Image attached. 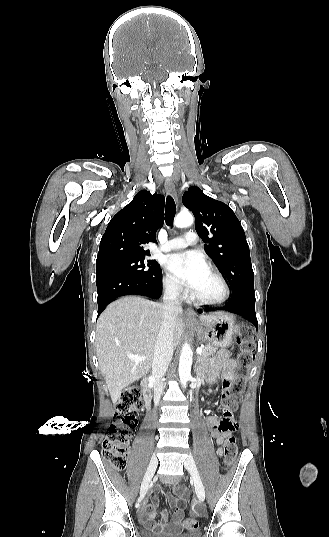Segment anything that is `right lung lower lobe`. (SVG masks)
<instances>
[{
	"label": "right lung lower lobe",
	"mask_w": 329,
	"mask_h": 537,
	"mask_svg": "<svg viewBox=\"0 0 329 537\" xmlns=\"http://www.w3.org/2000/svg\"><path fill=\"white\" fill-rule=\"evenodd\" d=\"M98 316L107 304L124 295H142L158 299L162 295V271L156 278H140L116 272L96 274Z\"/></svg>",
	"instance_id": "98d812e1"
}]
</instances>
